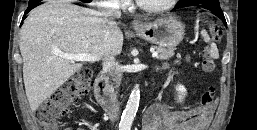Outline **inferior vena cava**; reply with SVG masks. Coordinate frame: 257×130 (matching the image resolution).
<instances>
[{
  "label": "inferior vena cava",
  "mask_w": 257,
  "mask_h": 130,
  "mask_svg": "<svg viewBox=\"0 0 257 130\" xmlns=\"http://www.w3.org/2000/svg\"><path fill=\"white\" fill-rule=\"evenodd\" d=\"M102 15L106 18L108 29L110 31L118 28L117 23L114 21L115 18H120L121 16L118 5L111 6L108 9L104 10L102 12ZM103 67L114 78L113 81L116 83V87L118 88L121 81V75L119 65L117 62H115V58L113 55H108L104 58Z\"/></svg>",
  "instance_id": "1"
}]
</instances>
